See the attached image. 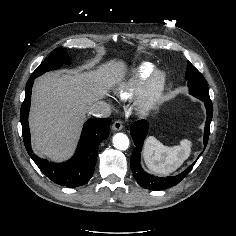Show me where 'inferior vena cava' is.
I'll list each match as a JSON object with an SVG mask.
<instances>
[{"mask_svg": "<svg viewBox=\"0 0 236 236\" xmlns=\"http://www.w3.org/2000/svg\"><path fill=\"white\" fill-rule=\"evenodd\" d=\"M90 113L95 117H109L111 114V107L108 103L99 101L91 106Z\"/></svg>", "mask_w": 236, "mask_h": 236, "instance_id": "obj_1", "label": "inferior vena cava"}]
</instances>
